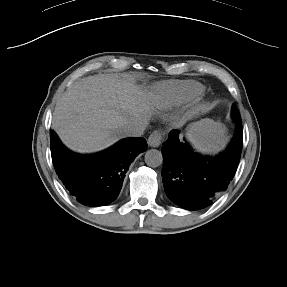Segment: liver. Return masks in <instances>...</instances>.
<instances>
[{
    "mask_svg": "<svg viewBox=\"0 0 287 287\" xmlns=\"http://www.w3.org/2000/svg\"><path fill=\"white\" fill-rule=\"evenodd\" d=\"M159 101L149 98L127 78L97 74L76 82L57 102L53 128L62 142L79 153L98 152L124 138L129 122L148 120Z\"/></svg>",
    "mask_w": 287,
    "mask_h": 287,
    "instance_id": "obj_1",
    "label": "liver"
}]
</instances>
